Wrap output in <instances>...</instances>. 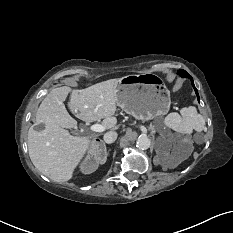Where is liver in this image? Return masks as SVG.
<instances>
[{
  "label": "liver",
  "instance_id": "obj_1",
  "mask_svg": "<svg viewBox=\"0 0 233 233\" xmlns=\"http://www.w3.org/2000/svg\"><path fill=\"white\" fill-rule=\"evenodd\" d=\"M117 83L118 79H110L81 90L63 86L47 94L36 112L35 123L45 128L37 131L30 127L28 131L29 156L38 171L58 183L73 177L92 142L89 136L69 133L67 129L75 128L77 121L68 113L64 101L70 93L68 106L77 118L84 122L104 119L106 129L114 128Z\"/></svg>",
  "mask_w": 233,
  "mask_h": 233
}]
</instances>
